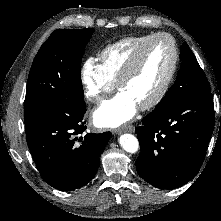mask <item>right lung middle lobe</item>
Wrapping results in <instances>:
<instances>
[{
    "instance_id": "right-lung-middle-lobe-1",
    "label": "right lung middle lobe",
    "mask_w": 221,
    "mask_h": 221,
    "mask_svg": "<svg viewBox=\"0 0 221 221\" xmlns=\"http://www.w3.org/2000/svg\"><path fill=\"white\" fill-rule=\"evenodd\" d=\"M93 32V28L58 29L41 46L28 76L25 126L65 100L84 102L80 63Z\"/></svg>"
}]
</instances>
